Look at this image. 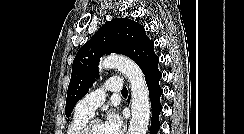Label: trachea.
<instances>
[{
    "mask_svg": "<svg viewBox=\"0 0 244 134\" xmlns=\"http://www.w3.org/2000/svg\"><path fill=\"white\" fill-rule=\"evenodd\" d=\"M122 95H123V96H124V95H128V90H127L126 87H124V88L122 89Z\"/></svg>",
    "mask_w": 244,
    "mask_h": 134,
    "instance_id": "1",
    "label": "trachea"
}]
</instances>
